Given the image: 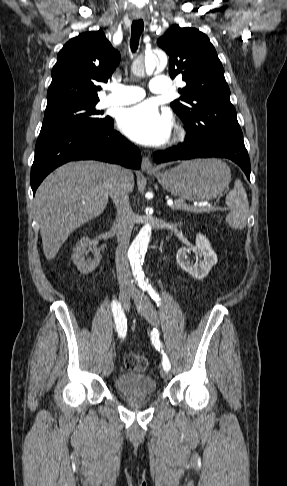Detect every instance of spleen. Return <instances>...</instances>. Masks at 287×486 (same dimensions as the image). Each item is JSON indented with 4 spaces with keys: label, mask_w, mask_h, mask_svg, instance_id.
<instances>
[{
    "label": "spleen",
    "mask_w": 287,
    "mask_h": 486,
    "mask_svg": "<svg viewBox=\"0 0 287 486\" xmlns=\"http://www.w3.org/2000/svg\"><path fill=\"white\" fill-rule=\"evenodd\" d=\"M225 203L231 209L226 216L228 225L236 230L244 229L249 216V202L240 179H236L234 188L227 193Z\"/></svg>",
    "instance_id": "obj_1"
}]
</instances>
